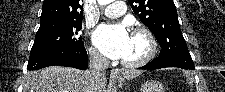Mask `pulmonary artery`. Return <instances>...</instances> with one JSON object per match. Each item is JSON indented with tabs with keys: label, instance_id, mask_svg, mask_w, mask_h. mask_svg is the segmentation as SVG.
<instances>
[{
	"label": "pulmonary artery",
	"instance_id": "e3ab8cb5",
	"mask_svg": "<svg viewBox=\"0 0 225 92\" xmlns=\"http://www.w3.org/2000/svg\"><path fill=\"white\" fill-rule=\"evenodd\" d=\"M109 4L104 10V15L110 18H116L123 15L126 12V5L121 1H107Z\"/></svg>",
	"mask_w": 225,
	"mask_h": 92
}]
</instances>
